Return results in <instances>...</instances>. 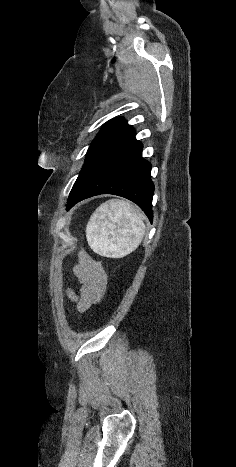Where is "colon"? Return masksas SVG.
Masks as SVG:
<instances>
[{
  "instance_id": "colon-1",
  "label": "colon",
  "mask_w": 236,
  "mask_h": 467,
  "mask_svg": "<svg viewBox=\"0 0 236 467\" xmlns=\"http://www.w3.org/2000/svg\"><path fill=\"white\" fill-rule=\"evenodd\" d=\"M100 264H101V265L103 266V268L105 269V266H104V264H103L102 262H100Z\"/></svg>"
}]
</instances>
